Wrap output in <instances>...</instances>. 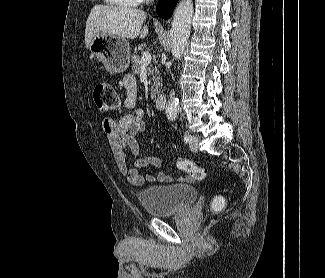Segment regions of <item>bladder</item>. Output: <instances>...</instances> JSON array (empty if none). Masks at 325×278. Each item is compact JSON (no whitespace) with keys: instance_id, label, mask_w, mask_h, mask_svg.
Listing matches in <instances>:
<instances>
[{"instance_id":"obj_1","label":"bladder","mask_w":325,"mask_h":278,"mask_svg":"<svg viewBox=\"0 0 325 278\" xmlns=\"http://www.w3.org/2000/svg\"><path fill=\"white\" fill-rule=\"evenodd\" d=\"M197 197V189L190 184L150 186L139 193L143 209L152 217L183 212L194 204Z\"/></svg>"}]
</instances>
